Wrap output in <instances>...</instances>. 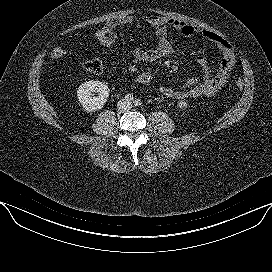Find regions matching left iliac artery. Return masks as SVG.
<instances>
[{"mask_svg": "<svg viewBox=\"0 0 272 272\" xmlns=\"http://www.w3.org/2000/svg\"><path fill=\"white\" fill-rule=\"evenodd\" d=\"M141 104H142V102L140 99H135V101H134L135 106H140Z\"/></svg>", "mask_w": 272, "mask_h": 272, "instance_id": "left-iliac-artery-1", "label": "left iliac artery"}]
</instances>
